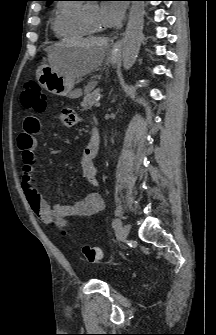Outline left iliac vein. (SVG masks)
<instances>
[{
    "label": "left iliac vein",
    "instance_id": "4c4485c4",
    "mask_svg": "<svg viewBox=\"0 0 216 335\" xmlns=\"http://www.w3.org/2000/svg\"><path fill=\"white\" fill-rule=\"evenodd\" d=\"M129 231H130V225L129 224H125L120 231V238L122 240H125L128 235H129Z\"/></svg>",
    "mask_w": 216,
    "mask_h": 335
}]
</instances>
